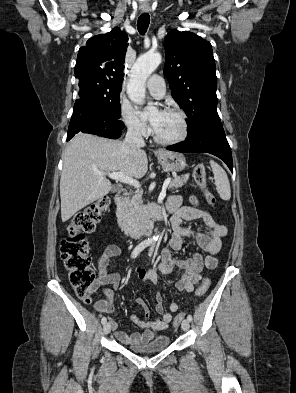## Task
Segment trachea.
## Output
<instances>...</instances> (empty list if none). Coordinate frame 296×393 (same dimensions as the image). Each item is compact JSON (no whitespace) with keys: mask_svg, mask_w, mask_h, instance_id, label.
Masks as SVG:
<instances>
[{"mask_svg":"<svg viewBox=\"0 0 296 393\" xmlns=\"http://www.w3.org/2000/svg\"><path fill=\"white\" fill-rule=\"evenodd\" d=\"M150 23V16L147 13L141 14L138 18L137 28L140 34H145Z\"/></svg>","mask_w":296,"mask_h":393,"instance_id":"obj_1","label":"trachea"}]
</instances>
